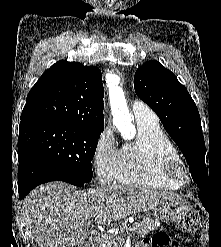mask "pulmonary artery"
I'll return each instance as SVG.
<instances>
[{"label":"pulmonary artery","mask_w":221,"mask_h":247,"mask_svg":"<svg viewBox=\"0 0 221 247\" xmlns=\"http://www.w3.org/2000/svg\"><path fill=\"white\" fill-rule=\"evenodd\" d=\"M132 112L137 123L149 122L158 123L157 115L141 101H134L132 104Z\"/></svg>","instance_id":"e3ab8cb5"}]
</instances>
